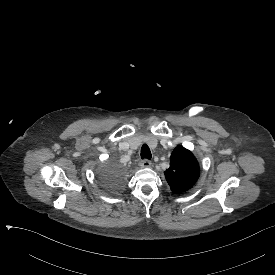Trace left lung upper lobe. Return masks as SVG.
Listing matches in <instances>:
<instances>
[{"instance_id":"1","label":"left lung upper lobe","mask_w":275,"mask_h":275,"mask_svg":"<svg viewBox=\"0 0 275 275\" xmlns=\"http://www.w3.org/2000/svg\"><path fill=\"white\" fill-rule=\"evenodd\" d=\"M199 173V164L194 155L178 145L170 156V167L165 171L171 190L177 194L189 190L197 181Z\"/></svg>"}]
</instances>
